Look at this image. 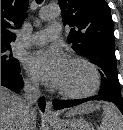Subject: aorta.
<instances>
[{"instance_id":"aorta-1","label":"aorta","mask_w":123,"mask_h":130,"mask_svg":"<svg viewBox=\"0 0 123 130\" xmlns=\"http://www.w3.org/2000/svg\"><path fill=\"white\" fill-rule=\"evenodd\" d=\"M60 15L61 10L57 4H50L48 6H45L39 12V16L43 20L55 19L58 18Z\"/></svg>"}]
</instances>
